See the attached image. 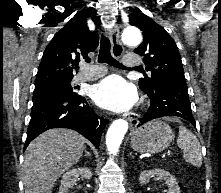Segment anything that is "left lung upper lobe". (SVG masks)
<instances>
[{
  "label": "left lung upper lobe",
  "instance_id": "left-lung-upper-lobe-1",
  "mask_svg": "<svg viewBox=\"0 0 221 193\" xmlns=\"http://www.w3.org/2000/svg\"><path fill=\"white\" fill-rule=\"evenodd\" d=\"M129 19L130 25L143 31V42L134 52L143 56L146 70L151 72L139 79V87L151 91L160 81L185 82L181 56L173 38L141 12L133 11Z\"/></svg>",
  "mask_w": 221,
  "mask_h": 193
}]
</instances>
